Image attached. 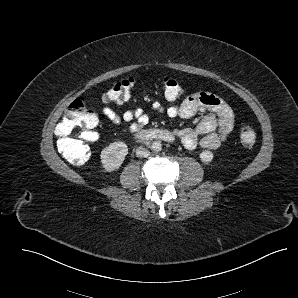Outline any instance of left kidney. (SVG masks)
<instances>
[{"mask_svg":"<svg viewBox=\"0 0 298 298\" xmlns=\"http://www.w3.org/2000/svg\"><path fill=\"white\" fill-rule=\"evenodd\" d=\"M200 159L203 163L208 164L213 159V153L211 151L205 150L200 153Z\"/></svg>","mask_w":298,"mask_h":298,"instance_id":"5707ae66","label":"left kidney"}]
</instances>
